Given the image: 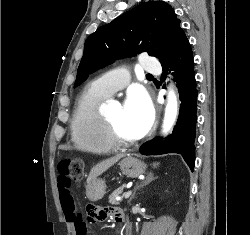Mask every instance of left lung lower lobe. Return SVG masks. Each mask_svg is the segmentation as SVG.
<instances>
[{
  "label": "left lung lower lobe",
  "instance_id": "1",
  "mask_svg": "<svg viewBox=\"0 0 250 235\" xmlns=\"http://www.w3.org/2000/svg\"><path fill=\"white\" fill-rule=\"evenodd\" d=\"M161 65L163 67L162 78L165 77L168 67L174 71V80L177 82L181 101L179 118L171 135L164 140L155 138L145 143L141 146L140 151L144 155L181 154L193 171L198 93L193 68V53L183 29L179 31L171 51L161 61Z\"/></svg>",
  "mask_w": 250,
  "mask_h": 235
}]
</instances>
